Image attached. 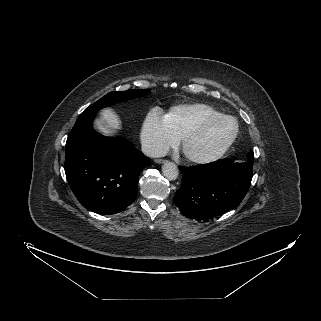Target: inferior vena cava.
Returning a JSON list of instances; mask_svg holds the SVG:
<instances>
[{"mask_svg":"<svg viewBox=\"0 0 321 321\" xmlns=\"http://www.w3.org/2000/svg\"><path fill=\"white\" fill-rule=\"evenodd\" d=\"M142 152L151 158L162 157L166 155V151L161 148L156 143L150 141H143L142 142Z\"/></svg>","mask_w":321,"mask_h":321,"instance_id":"obj_1","label":"inferior vena cava"}]
</instances>
